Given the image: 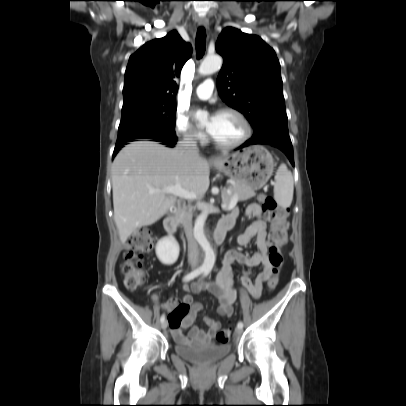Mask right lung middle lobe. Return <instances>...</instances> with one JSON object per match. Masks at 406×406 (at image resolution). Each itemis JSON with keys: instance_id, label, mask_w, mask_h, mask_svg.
Returning <instances> with one entry per match:
<instances>
[{"instance_id": "obj_1", "label": "right lung middle lobe", "mask_w": 406, "mask_h": 406, "mask_svg": "<svg viewBox=\"0 0 406 406\" xmlns=\"http://www.w3.org/2000/svg\"><path fill=\"white\" fill-rule=\"evenodd\" d=\"M176 105L142 103L122 108L117 143L175 136Z\"/></svg>"}]
</instances>
